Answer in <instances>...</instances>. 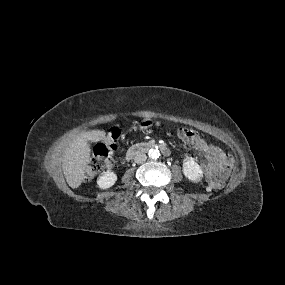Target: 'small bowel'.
<instances>
[{
  "label": "small bowel",
  "instance_id": "1",
  "mask_svg": "<svg viewBox=\"0 0 285 285\" xmlns=\"http://www.w3.org/2000/svg\"><path fill=\"white\" fill-rule=\"evenodd\" d=\"M195 147L206 156L207 162L203 168L208 178L226 179L229 176L232 162L218 146L199 137Z\"/></svg>",
  "mask_w": 285,
  "mask_h": 285
}]
</instances>
